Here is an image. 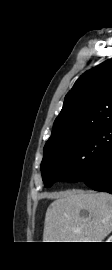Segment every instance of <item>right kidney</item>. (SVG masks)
Masks as SVG:
<instances>
[{
	"label": "right kidney",
	"instance_id": "right-kidney-1",
	"mask_svg": "<svg viewBox=\"0 0 112 270\" xmlns=\"http://www.w3.org/2000/svg\"><path fill=\"white\" fill-rule=\"evenodd\" d=\"M106 242H112V236H110Z\"/></svg>",
	"mask_w": 112,
	"mask_h": 270
}]
</instances>
